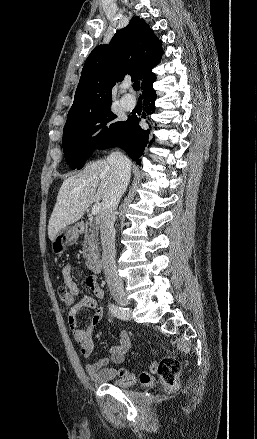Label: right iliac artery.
I'll use <instances>...</instances> for the list:
<instances>
[{
	"label": "right iliac artery",
	"instance_id": "right-iliac-artery-1",
	"mask_svg": "<svg viewBox=\"0 0 257 439\" xmlns=\"http://www.w3.org/2000/svg\"><path fill=\"white\" fill-rule=\"evenodd\" d=\"M110 312L119 319L128 320L129 313L126 308L118 307L114 304L109 305Z\"/></svg>",
	"mask_w": 257,
	"mask_h": 439
}]
</instances>
